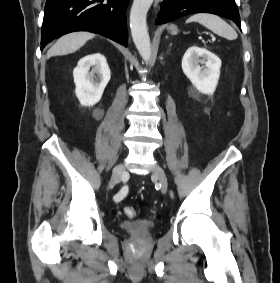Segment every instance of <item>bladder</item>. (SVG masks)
Segmentation results:
<instances>
[{"instance_id": "bladder-1", "label": "bladder", "mask_w": 280, "mask_h": 283, "mask_svg": "<svg viewBox=\"0 0 280 283\" xmlns=\"http://www.w3.org/2000/svg\"><path fill=\"white\" fill-rule=\"evenodd\" d=\"M119 228L131 235L143 236L151 233L155 225L150 220L140 219L136 221H122L118 224Z\"/></svg>"}]
</instances>
